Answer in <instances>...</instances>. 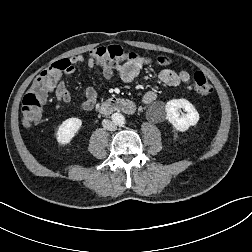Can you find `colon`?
Instances as JSON below:
<instances>
[{
	"mask_svg": "<svg viewBox=\"0 0 252 252\" xmlns=\"http://www.w3.org/2000/svg\"><path fill=\"white\" fill-rule=\"evenodd\" d=\"M90 56L97 64L102 66L124 65L140 58L135 53L125 52L120 46L116 45L95 48L90 52ZM143 62L144 64L147 63V59L144 58ZM156 63L167 65L170 63V59L166 56H160L156 59ZM70 66L69 60L64 59L53 63L38 74L22 100L21 114L24 125L30 126L41 120L47 90L58 82L61 73L68 70ZM193 88L200 96H209L213 92L210 82L201 72L194 74Z\"/></svg>",
	"mask_w": 252,
	"mask_h": 252,
	"instance_id": "obj_1",
	"label": "colon"
}]
</instances>
